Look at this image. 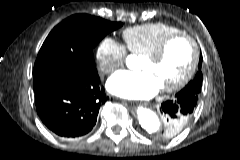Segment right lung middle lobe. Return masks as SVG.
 Masks as SVG:
<instances>
[{
  "label": "right lung middle lobe",
  "instance_id": "dd1d6c3e",
  "mask_svg": "<svg viewBox=\"0 0 240 160\" xmlns=\"http://www.w3.org/2000/svg\"><path fill=\"white\" fill-rule=\"evenodd\" d=\"M121 26L122 23L87 14L63 20L45 39L33 76L51 67H62L80 75L95 73L92 49L105 35Z\"/></svg>",
  "mask_w": 240,
  "mask_h": 160
}]
</instances>
